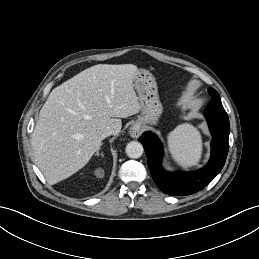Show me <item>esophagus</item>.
<instances>
[{
    "label": "esophagus",
    "mask_w": 259,
    "mask_h": 259,
    "mask_svg": "<svg viewBox=\"0 0 259 259\" xmlns=\"http://www.w3.org/2000/svg\"><path fill=\"white\" fill-rule=\"evenodd\" d=\"M142 128L139 124L134 123L130 128H129V134L133 138H138L141 135Z\"/></svg>",
    "instance_id": "1"
}]
</instances>
